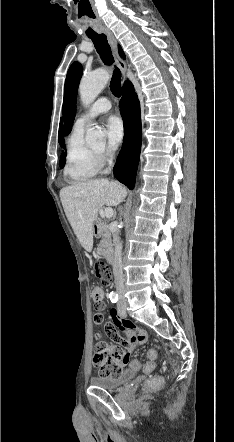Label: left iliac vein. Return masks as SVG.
Returning <instances> with one entry per match:
<instances>
[{
    "label": "left iliac vein",
    "mask_w": 234,
    "mask_h": 442,
    "mask_svg": "<svg viewBox=\"0 0 234 442\" xmlns=\"http://www.w3.org/2000/svg\"><path fill=\"white\" fill-rule=\"evenodd\" d=\"M118 312L122 317L126 316V305L123 300H120V302L118 303Z\"/></svg>",
    "instance_id": "1"
}]
</instances>
